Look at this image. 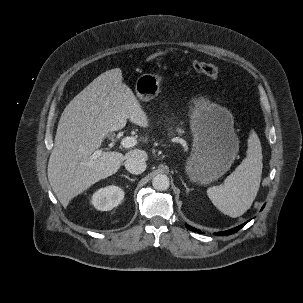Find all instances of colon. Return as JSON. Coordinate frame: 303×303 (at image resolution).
I'll return each instance as SVG.
<instances>
[{
  "mask_svg": "<svg viewBox=\"0 0 303 303\" xmlns=\"http://www.w3.org/2000/svg\"><path fill=\"white\" fill-rule=\"evenodd\" d=\"M163 55H164V51H156L149 56V61L155 62L158 59H160ZM192 67L197 73L206 75L214 79L218 78L220 73L217 66L199 60H194L192 62Z\"/></svg>",
  "mask_w": 303,
  "mask_h": 303,
  "instance_id": "1",
  "label": "colon"
}]
</instances>
